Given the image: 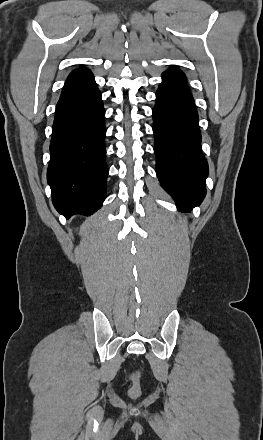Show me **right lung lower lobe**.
Here are the masks:
<instances>
[{
	"label": "right lung lower lobe",
	"instance_id": "1",
	"mask_svg": "<svg viewBox=\"0 0 263 440\" xmlns=\"http://www.w3.org/2000/svg\"><path fill=\"white\" fill-rule=\"evenodd\" d=\"M105 111L90 70L68 79L56 106L47 180L52 202L66 217L90 215L106 196Z\"/></svg>",
	"mask_w": 263,
	"mask_h": 440
}]
</instances>
